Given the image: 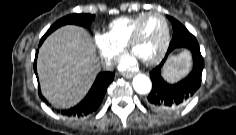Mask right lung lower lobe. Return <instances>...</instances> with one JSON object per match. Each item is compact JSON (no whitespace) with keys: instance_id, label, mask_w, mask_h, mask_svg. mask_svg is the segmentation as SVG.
<instances>
[{"instance_id":"1","label":"right lung lower lobe","mask_w":236,"mask_h":135,"mask_svg":"<svg viewBox=\"0 0 236 135\" xmlns=\"http://www.w3.org/2000/svg\"><path fill=\"white\" fill-rule=\"evenodd\" d=\"M45 38L46 37L44 36L42 37L39 45L43 43ZM37 54L38 52H36V57L34 61V71L36 73V76H37V70H36ZM113 79H114L113 72L99 73L93 86L91 87L90 91L86 95V97L75 107L68 110H61V114L69 116V117L81 118L96 111L102 102V99L106 93L107 87L113 81ZM42 98L44 101H46L44 97Z\"/></svg>"}]
</instances>
